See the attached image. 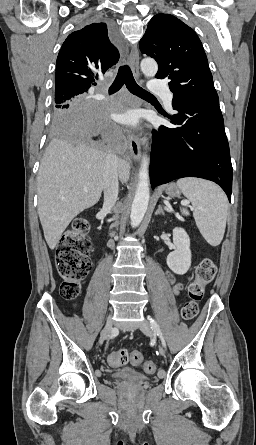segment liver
<instances>
[{
    "instance_id": "6515ba94",
    "label": "liver",
    "mask_w": 256,
    "mask_h": 445,
    "mask_svg": "<svg viewBox=\"0 0 256 445\" xmlns=\"http://www.w3.org/2000/svg\"><path fill=\"white\" fill-rule=\"evenodd\" d=\"M106 153L96 144L76 145L54 139L45 150L37 177L38 215L50 249L58 244L70 222L94 206L103 190ZM118 174L126 183L129 164L118 159ZM87 188V191H84Z\"/></svg>"
}]
</instances>
